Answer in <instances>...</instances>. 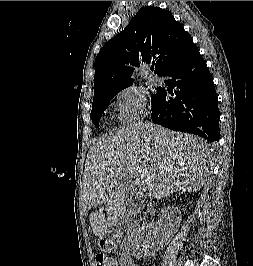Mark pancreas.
I'll return each instance as SVG.
<instances>
[{
	"mask_svg": "<svg viewBox=\"0 0 253 266\" xmlns=\"http://www.w3.org/2000/svg\"><path fill=\"white\" fill-rule=\"evenodd\" d=\"M136 212H137V211H136L135 209H132V211L130 210V211L128 212L129 220L132 221V217H133V215H135Z\"/></svg>",
	"mask_w": 253,
	"mask_h": 266,
	"instance_id": "cf45deb5",
	"label": "pancreas"
}]
</instances>
